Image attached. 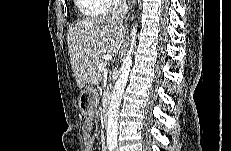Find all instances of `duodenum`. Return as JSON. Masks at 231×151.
Returning <instances> with one entry per match:
<instances>
[{
    "mask_svg": "<svg viewBox=\"0 0 231 151\" xmlns=\"http://www.w3.org/2000/svg\"><path fill=\"white\" fill-rule=\"evenodd\" d=\"M109 108H110V95H109V94H106L105 97H104V101H103V110H102L104 120H106V117H107V115H108Z\"/></svg>",
    "mask_w": 231,
    "mask_h": 151,
    "instance_id": "obj_1",
    "label": "duodenum"
}]
</instances>
